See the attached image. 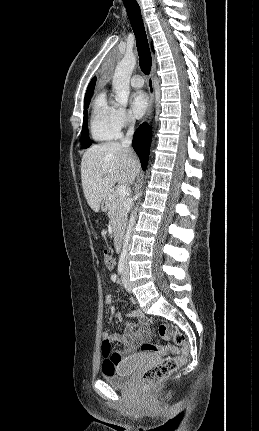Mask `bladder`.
I'll return each instance as SVG.
<instances>
[{
	"label": "bladder",
	"instance_id": "obj_1",
	"mask_svg": "<svg viewBox=\"0 0 259 431\" xmlns=\"http://www.w3.org/2000/svg\"><path fill=\"white\" fill-rule=\"evenodd\" d=\"M138 368V363L133 361L120 365L112 372H104L102 378L112 386L121 387L127 384Z\"/></svg>",
	"mask_w": 259,
	"mask_h": 431
}]
</instances>
